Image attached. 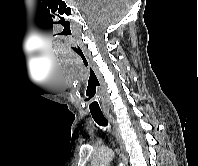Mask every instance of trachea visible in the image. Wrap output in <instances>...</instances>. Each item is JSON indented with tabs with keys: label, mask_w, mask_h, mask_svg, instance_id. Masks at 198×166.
I'll return each mask as SVG.
<instances>
[{
	"label": "trachea",
	"mask_w": 198,
	"mask_h": 166,
	"mask_svg": "<svg viewBox=\"0 0 198 166\" xmlns=\"http://www.w3.org/2000/svg\"><path fill=\"white\" fill-rule=\"evenodd\" d=\"M91 115H92V118L94 119V121L99 126H103V127L108 126V121L106 120V118L104 117V115L102 113H91Z\"/></svg>",
	"instance_id": "3493384b"
}]
</instances>
